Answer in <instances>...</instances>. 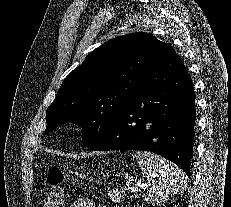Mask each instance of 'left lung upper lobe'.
<instances>
[{
	"label": "left lung upper lobe",
	"instance_id": "obj_1",
	"mask_svg": "<svg viewBox=\"0 0 231 207\" xmlns=\"http://www.w3.org/2000/svg\"><path fill=\"white\" fill-rule=\"evenodd\" d=\"M171 47L147 33L107 41L63 81L46 111L48 134L72 122L82 128L84 146L92 147L117 117L146 88V80Z\"/></svg>",
	"mask_w": 231,
	"mask_h": 207
}]
</instances>
